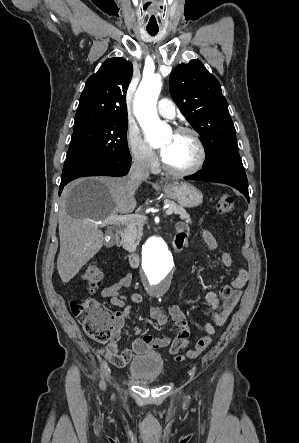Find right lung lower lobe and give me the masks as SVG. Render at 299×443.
Segmentation results:
<instances>
[{
    "label": "right lung lower lobe",
    "instance_id": "98d812e1",
    "mask_svg": "<svg viewBox=\"0 0 299 443\" xmlns=\"http://www.w3.org/2000/svg\"><path fill=\"white\" fill-rule=\"evenodd\" d=\"M130 161L129 160H122V161L107 162V163H102V164L96 165L94 167H91L89 169H86V170L72 176L68 180L61 182L60 189H59V195L61 194L63 187L67 183H69L70 181H72L76 178H79V177H85V176H115V177H119V176H124L129 172Z\"/></svg>",
    "mask_w": 299,
    "mask_h": 443
}]
</instances>
